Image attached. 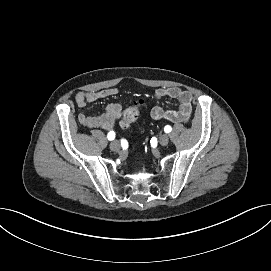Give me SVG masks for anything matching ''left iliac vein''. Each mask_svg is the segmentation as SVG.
Wrapping results in <instances>:
<instances>
[{
	"label": "left iliac vein",
	"mask_w": 271,
	"mask_h": 271,
	"mask_svg": "<svg viewBox=\"0 0 271 271\" xmlns=\"http://www.w3.org/2000/svg\"><path fill=\"white\" fill-rule=\"evenodd\" d=\"M159 142L161 145L166 146L169 143V138L167 135L163 134L159 137Z\"/></svg>",
	"instance_id": "obj_1"
}]
</instances>
